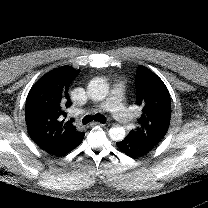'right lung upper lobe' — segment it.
<instances>
[{"instance_id": "obj_1", "label": "right lung upper lobe", "mask_w": 208, "mask_h": 208, "mask_svg": "<svg viewBox=\"0 0 208 208\" xmlns=\"http://www.w3.org/2000/svg\"><path fill=\"white\" fill-rule=\"evenodd\" d=\"M79 72L70 66L54 69L40 78L27 96L28 133L45 151L82 134L72 124L73 119L67 120V109L71 106L68 90Z\"/></svg>"}]
</instances>
